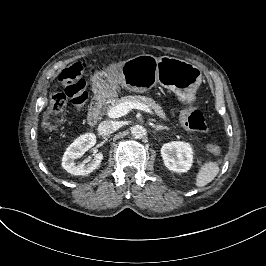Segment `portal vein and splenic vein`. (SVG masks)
Listing matches in <instances>:
<instances>
[{"label":"portal vein and splenic vein","instance_id":"obj_1","mask_svg":"<svg viewBox=\"0 0 266 266\" xmlns=\"http://www.w3.org/2000/svg\"><path fill=\"white\" fill-rule=\"evenodd\" d=\"M132 109L141 110L150 114L152 113V110L145 104L139 102L135 103L132 101H124L110 108V110L108 111V116L110 118H119L128 114Z\"/></svg>","mask_w":266,"mask_h":266}]
</instances>
